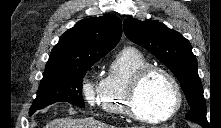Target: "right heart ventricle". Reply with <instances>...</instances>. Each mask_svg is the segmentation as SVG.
<instances>
[{
  "label": "right heart ventricle",
  "mask_w": 221,
  "mask_h": 128,
  "mask_svg": "<svg viewBox=\"0 0 221 128\" xmlns=\"http://www.w3.org/2000/svg\"><path fill=\"white\" fill-rule=\"evenodd\" d=\"M148 65L149 60L136 48L127 47L118 52L101 84L98 95L100 109L114 116H128L126 97L130 82Z\"/></svg>",
  "instance_id": "1"
}]
</instances>
